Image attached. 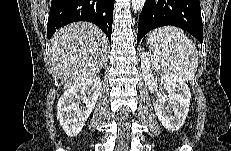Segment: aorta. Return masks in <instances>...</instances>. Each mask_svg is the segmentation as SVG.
Wrapping results in <instances>:
<instances>
[{"mask_svg":"<svg viewBox=\"0 0 231 151\" xmlns=\"http://www.w3.org/2000/svg\"><path fill=\"white\" fill-rule=\"evenodd\" d=\"M132 9L135 13L139 12L144 4H145V0H132Z\"/></svg>","mask_w":231,"mask_h":151,"instance_id":"aorta-1","label":"aorta"}]
</instances>
